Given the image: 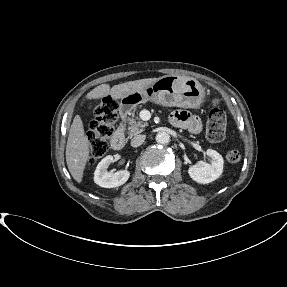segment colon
<instances>
[{
	"mask_svg": "<svg viewBox=\"0 0 287 287\" xmlns=\"http://www.w3.org/2000/svg\"><path fill=\"white\" fill-rule=\"evenodd\" d=\"M118 102L108 96L93 107L95 119L88 132L90 146L89 164L96 163L107 150L109 141L114 135L118 120ZM207 137L212 142L222 141L226 134V116L220 108L218 99H213L206 130ZM227 161L236 164L241 160V151L230 149L226 154Z\"/></svg>",
	"mask_w": 287,
	"mask_h": 287,
	"instance_id": "5ec220e1",
	"label": "colon"
}]
</instances>
